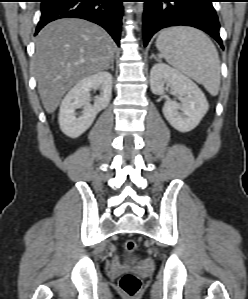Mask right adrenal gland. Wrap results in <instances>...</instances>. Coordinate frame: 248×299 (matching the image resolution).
<instances>
[{
  "instance_id": "obj_1",
  "label": "right adrenal gland",
  "mask_w": 248,
  "mask_h": 299,
  "mask_svg": "<svg viewBox=\"0 0 248 299\" xmlns=\"http://www.w3.org/2000/svg\"><path fill=\"white\" fill-rule=\"evenodd\" d=\"M111 69L112 71H114V59L111 62V65L109 67L106 68V70Z\"/></svg>"
}]
</instances>
